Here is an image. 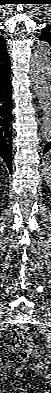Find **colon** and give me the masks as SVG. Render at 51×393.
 Instances as JSON below:
<instances>
[{
	"mask_svg": "<svg viewBox=\"0 0 51 393\" xmlns=\"http://www.w3.org/2000/svg\"><path fill=\"white\" fill-rule=\"evenodd\" d=\"M11 349L22 359H34L43 354V347L32 341L28 329L24 326L13 330Z\"/></svg>",
	"mask_w": 51,
	"mask_h": 393,
	"instance_id": "1",
	"label": "colon"
}]
</instances>
